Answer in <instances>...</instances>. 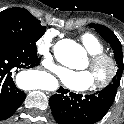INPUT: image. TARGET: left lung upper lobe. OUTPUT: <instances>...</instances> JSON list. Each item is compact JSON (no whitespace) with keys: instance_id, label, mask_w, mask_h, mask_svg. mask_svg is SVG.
<instances>
[{"instance_id":"5c2ea615","label":"left lung upper lobe","mask_w":124,"mask_h":124,"mask_svg":"<svg viewBox=\"0 0 124 124\" xmlns=\"http://www.w3.org/2000/svg\"><path fill=\"white\" fill-rule=\"evenodd\" d=\"M89 26L93 27L102 36V38L105 41L110 43L114 51V57H115V61L118 66V70H117L116 75L112 79V83L109 86L118 88L121 77H122L123 69H124L121 43L118 40V38L115 36V34L106 26L99 25V24H90Z\"/></svg>"}]
</instances>
